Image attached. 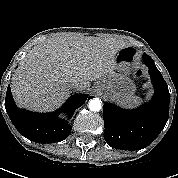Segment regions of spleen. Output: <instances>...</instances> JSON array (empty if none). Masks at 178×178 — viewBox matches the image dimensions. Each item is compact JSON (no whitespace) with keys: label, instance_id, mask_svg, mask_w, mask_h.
<instances>
[{"label":"spleen","instance_id":"3e777b00","mask_svg":"<svg viewBox=\"0 0 178 178\" xmlns=\"http://www.w3.org/2000/svg\"><path fill=\"white\" fill-rule=\"evenodd\" d=\"M141 102V98L140 97H135L132 96L124 101H122L123 105L126 106H136Z\"/></svg>","mask_w":178,"mask_h":178}]
</instances>
